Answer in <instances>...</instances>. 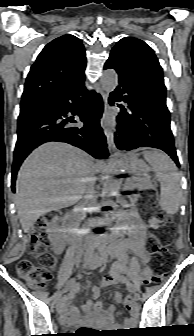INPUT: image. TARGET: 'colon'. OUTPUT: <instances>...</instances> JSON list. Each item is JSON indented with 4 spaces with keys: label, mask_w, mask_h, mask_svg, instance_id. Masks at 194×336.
<instances>
[{
    "label": "colon",
    "mask_w": 194,
    "mask_h": 336,
    "mask_svg": "<svg viewBox=\"0 0 194 336\" xmlns=\"http://www.w3.org/2000/svg\"><path fill=\"white\" fill-rule=\"evenodd\" d=\"M142 210L149 217V223L153 230V234L147 241L149 249L154 255L168 257L170 255L169 243L172 238L171 222L154 201L148 200L145 202ZM46 227L47 220L39 218L30 234L29 250L33 256H44L48 252L49 241L47 239ZM16 272L20 279L36 289L45 288L51 276L45 266L35 265L28 259H22L18 262ZM158 281L159 275L147 279V283L151 284Z\"/></svg>",
    "instance_id": "obj_1"
}]
</instances>
